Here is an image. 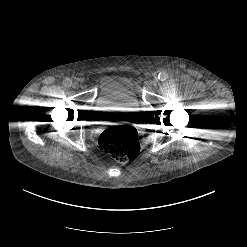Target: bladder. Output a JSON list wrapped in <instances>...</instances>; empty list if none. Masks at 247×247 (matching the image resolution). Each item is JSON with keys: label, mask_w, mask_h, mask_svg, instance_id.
Here are the masks:
<instances>
[{"label": "bladder", "mask_w": 247, "mask_h": 247, "mask_svg": "<svg viewBox=\"0 0 247 247\" xmlns=\"http://www.w3.org/2000/svg\"><path fill=\"white\" fill-rule=\"evenodd\" d=\"M95 105L98 108L96 118L100 120L136 115L139 98L133 81L116 74L104 76L99 83Z\"/></svg>", "instance_id": "obj_1"}]
</instances>
